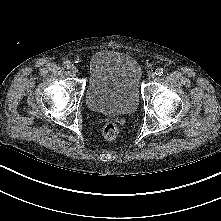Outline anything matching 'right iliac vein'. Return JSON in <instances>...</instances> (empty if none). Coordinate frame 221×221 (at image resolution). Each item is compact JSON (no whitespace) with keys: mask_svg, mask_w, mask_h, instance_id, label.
<instances>
[{"mask_svg":"<svg viewBox=\"0 0 221 221\" xmlns=\"http://www.w3.org/2000/svg\"><path fill=\"white\" fill-rule=\"evenodd\" d=\"M70 72L73 74H76L78 72V68L76 66H71L70 67Z\"/></svg>","mask_w":221,"mask_h":221,"instance_id":"right-iliac-vein-1","label":"right iliac vein"}]
</instances>
